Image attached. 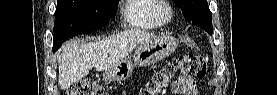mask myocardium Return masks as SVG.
Returning <instances> with one entry per match:
<instances>
[{
	"label": "myocardium",
	"mask_w": 277,
	"mask_h": 95,
	"mask_svg": "<svg viewBox=\"0 0 277 95\" xmlns=\"http://www.w3.org/2000/svg\"><path fill=\"white\" fill-rule=\"evenodd\" d=\"M158 8H163L165 9L166 13L163 18H159L156 14V10ZM150 18L158 25H165L168 23L172 16H173V9L166 0H156L155 4L152 6L149 12Z\"/></svg>",
	"instance_id": "obj_1"
}]
</instances>
